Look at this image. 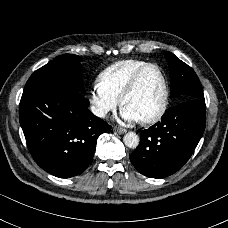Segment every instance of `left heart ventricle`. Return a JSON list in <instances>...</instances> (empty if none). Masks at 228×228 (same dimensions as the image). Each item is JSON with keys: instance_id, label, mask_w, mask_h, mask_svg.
Here are the masks:
<instances>
[{"instance_id": "obj_1", "label": "left heart ventricle", "mask_w": 228, "mask_h": 228, "mask_svg": "<svg viewBox=\"0 0 228 228\" xmlns=\"http://www.w3.org/2000/svg\"><path fill=\"white\" fill-rule=\"evenodd\" d=\"M164 96L163 79L152 68L143 75L136 91L127 98L124 108L130 109L139 120L146 119L160 110Z\"/></svg>"}]
</instances>
